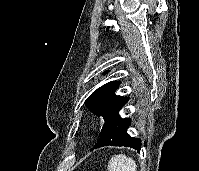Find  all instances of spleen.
<instances>
[{
  "label": "spleen",
  "instance_id": "1",
  "mask_svg": "<svg viewBox=\"0 0 199 171\" xmlns=\"http://www.w3.org/2000/svg\"><path fill=\"white\" fill-rule=\"evenodd\" d=\"M135 161L125 154L113 156L108 163V171H136Z\"/></svg>",
  "mask_w": 199,
  "mask_h": 171
}]
</instances>
